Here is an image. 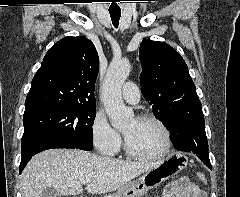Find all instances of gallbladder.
Returning <instances> with one entry per match:
<instances>
[{
	"instance_id": "gallbladder-1",
	"label": "gallbladder",
	"mask_w": 240,
	"mask_h": 197,
	"mask_svg": "<svg viewBox=\"0 0 240 197\" xmlns=\"http://www.w3.org/2000/svg\"><path fill=\"white\" fill-rule=\"evenodd\" d=\"M59 193L53 188H46L42 192V197H58Z\"/></svg>"
}]
</instances>
